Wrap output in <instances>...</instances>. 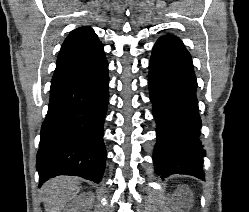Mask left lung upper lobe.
Instances as JSON below:
<instances>
[{
  "label": "left lung upper lobe",
  "instance_id": "left-lung-upper-lobe-1",
  "mask_svg": "<svg viewBox=\"0 0 249 212\" xmlns=\"http://www.w3.org/2000/svg\"><path fill=\"white\" fill-rule=\"evenodd\" d=\"M158 41L171 42V43L184 47L182 42L179 40V38L173 35H167V36L160 37Z\"/></svg>",
  "mask_w": 249,
  "mask_h": 212
}]
</instances>
